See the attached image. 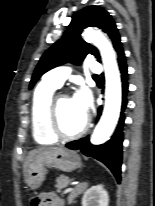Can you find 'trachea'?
Returning <instances> with one entry per match:
<instances>
[{
    "mask_svg": "<svg viewBox=\"0 0 155 206\" xmlns=\"http://www.w3.org/2000/svg\"><path fill=\"white\" fill-rule=\"evenodd\" d=\"M94 77H98V75H94Z\"/></svg>",
    "mask_w": 155,
    "mask_h": 206,
    "instance_id": "trachea-1",
    "label": "trachea"
}]
</instances>
